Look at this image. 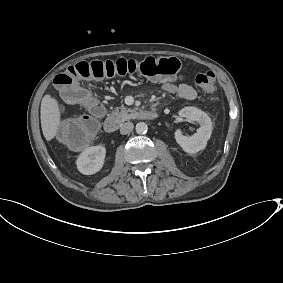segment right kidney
<instances>
[{"mask_svg":"<svg viewBox=\"0 0 283 283\" xmlns=\"http://www.w3.org/2000/svg\"><path fill=\"white\" fill-rule=\"evenodd\" d=\"M106 148L102 145L90 146L76 159L77 170L83 175H93L104 166Z\"/></svg>","mask_w":283,"mask_h":283,"instance_id":"obj_1","label":"right kidney"}]
</instances>
